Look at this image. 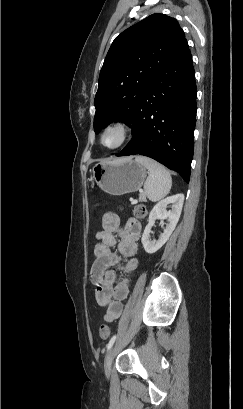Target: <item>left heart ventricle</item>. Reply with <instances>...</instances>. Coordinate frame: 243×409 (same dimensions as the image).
Returning a JSON list of instances; mask_svg holds the SVG:
<instances>
[{"mask_svg":"<svg viewBox=\"0 0 243 409\" xmlns=\"http://www.w3.org/2000/svg\"><path fill=\"white\" fill-rule=\"evenodd\" d=\"M119 141V135L116 132H109L104 137V143L107 146H114Z\"/></svg>","mask_w":243,"mask_h":409,"instance_id":"obj_1","label":"left heart ventricle"}]
</instances>
